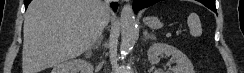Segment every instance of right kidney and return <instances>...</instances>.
Returning <instances> with one entry per match:
<instances>
[{
	"mask_svg": "<svg viewBox=\"0 0 244 73\" xmlns=\"http://www.w3.org/2000/svg\"><path fill=\"white\" fill-rule=\"evenodd\" d=\"M93 73V66L83 59H73L56 65L51 73Z\"/></svg>",
	"mask_w": 244,
	"mask_h": 73,
	"instance_id": "ca27d5eb",
	"label": "right kidney"
}]
</instances>
